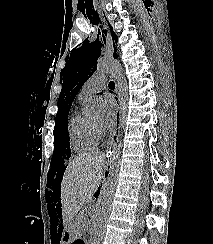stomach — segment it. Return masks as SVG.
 Instances as JSON below:
<instances>
[{
  "label": "stomach",
  "instance_id": "1",
  "mask_svg": "<svg viewBox=\"0 0 213 244\" xmlns=\"http://www.w3.org/2000/svg\"><path fill=\"white\" fill-rule=\"evenodd\" d=\"M75 224V221H66V223H63V228H65L66 234H64V239L60 240L61 244H72V239H77L79 230Z\"/></svg>",
  "mask_w": 213,
  "mask_h": 244
}]
</instances>
